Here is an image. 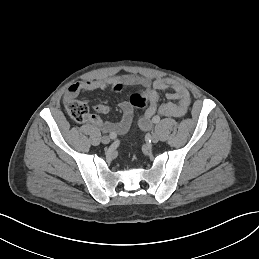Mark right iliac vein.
<instances>
[{
	"label": "right iliac vein",
	"instance_id": "right-iliac-vein-1",
	"mask_svg": "<svg viewBox=\"0 0 259 259\" xmlns=\"http://www.w3.org/2000/svg\"><path fill=\"white\" fill-rule=\"evenodd\" d=\"M101 141H102L103 144H109L110 143V137L103 136Z\"/></svg>",
	"mask_w": 259,
	"mask_h": 259
}]
</instances>
